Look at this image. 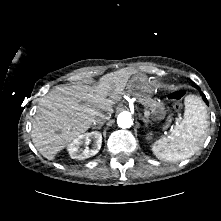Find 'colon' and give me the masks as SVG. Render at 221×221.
<instances>
[{"instance_id": "colon-1", "label": "colon", "mask_w": 221, "mask_h": 221, "mask_svg": "<svg viewBox=\"0 0 221 221\" xmlns=\"http://www.w3.org/2000/svg\"><path fill=\"white\" fill-rule=\"evenodd\" d=\"M184 97V91L176 90L169 94V99L173 102L176 110H181L182 108V99Z\"/></svg>"}]
</instances>
